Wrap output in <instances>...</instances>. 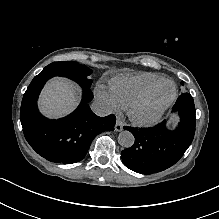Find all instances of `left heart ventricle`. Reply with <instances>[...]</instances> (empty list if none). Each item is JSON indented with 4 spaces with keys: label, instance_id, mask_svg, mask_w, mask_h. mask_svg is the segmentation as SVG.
I'll return each mask as SVG.
<instances>
[{
    "label": "left heart ventricle",
    "instance_id": "1",
    "mask_svg": "<svg viewBox=\"0 0 219 219\" xmlns=\"http://www.w3.org/2000/svg\"><path fill=\"white\" fill-rule=\"evenodd\" d=\"M173 88L170 83H161L152 94L148 104L144 107L143 113H152L159 105L165 102L172 94Z\"/></svg>",
    "mask_w": 219,
    "mask_h": 219
}]
</instances>
